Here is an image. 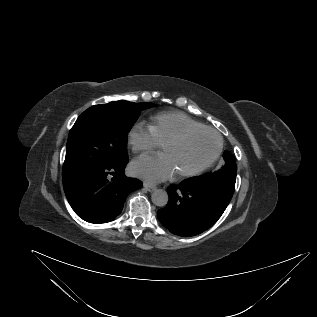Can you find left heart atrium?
Masks as SVG:
<instances>
[{"label": "left heart atrium", "instance_id": "1", "mask_svg": "<svg viewBox=\"0 0 317 317\" xmlns=\"http://www.w3.org/2000/svg\"><path fill=\"white\" fill-rule=\"evenodd\" d=\"M131 171L139 177L154 182L168 179L175 173L169 158L164 153L145 155L136 159L131 165Z\"/></svg>", "mask_w": 317, "mask_h": 317}]
</instances>
